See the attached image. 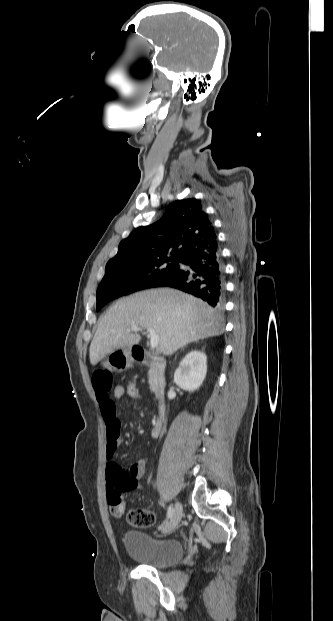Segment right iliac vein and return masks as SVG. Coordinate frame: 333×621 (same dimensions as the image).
<instances>
[{
  "label": "right iliac vein",
  "mask_w": 333,
  "mask_h": 621,
  "mask_svg": "<svg viewBox=\"0 0 333 621\" xmlns=\"http://www.w3.org/2000/svg\"><path fill=\"white\" fill-rule=\"evenodd\" d=\"M182 517V505L179 502L175 503L174 513L171 518L164 524L162 531L164 533L171 532L180 522Z\"/></svg>",
  "instance_id": "1"
}]
</instances>
